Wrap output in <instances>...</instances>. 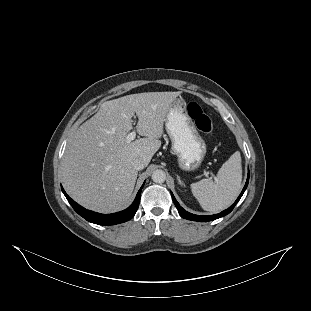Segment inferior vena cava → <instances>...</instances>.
<instances>
[{"label": "inferior vena cava", "mask_w": 311, "mask_h": 311, "mask_svg": "<svg viewBox=\"0 0 311 311\" xmlns=\"http://www.w3.org/2000/svg\"><path fill=\"white\" fill-rule=\"evenodd\" d=\"M132 165L134 168H136L137 170H142L145 168V163L143 161V159L141 158H136L133 162Z\"/></svg>", "instance_id": "1"}]
</instances>
